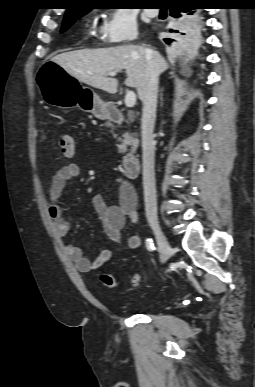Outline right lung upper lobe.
<instances>
[{"instance_id": "right-lung-upper-lobe-1", "label": "right lung upper lobe", "mask_w": 255, "mask_h": 387, "mask_svg": "<svg viewBox=\"0 0 255 387\" xmlns=\"http://www.w3.org/2000/svg\"><path fill=\"white\" fill-rule=\"evenodd\" d=\"M77 1H80V2H77V6H74V7H69L67 9V12L66 13H69L71 11H78V12H84V11H89L90 8L87 7V3L86 2H83L85 0H77Z\"/></svg>"}]
</instances>
